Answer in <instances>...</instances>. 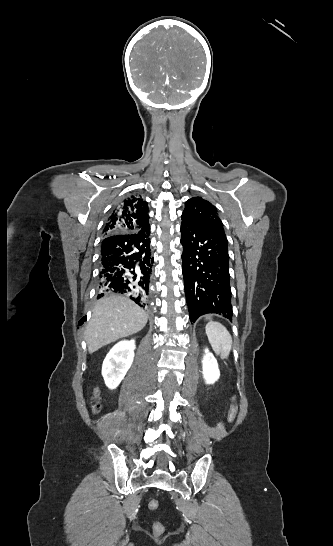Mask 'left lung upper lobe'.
I'll return each instance as SVG.
<instances>
[{"mask_svg":"<svg viewBox=\"0 0 333 546\" xmlns=\"http://www.w3.org/2000/svg\"><path fill=\"white\" fill-rule=\"evenodd\" d=\"M186 207L182 216H185L199 224H213L223 227L217 209L207 200L194 197L185 203Z\"/></svg>","mask_w":333,"mask_h":546,"instance_id":"obj_1","label":"left lung upper lobe"}]
</instances>
